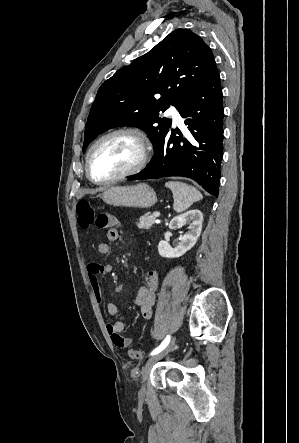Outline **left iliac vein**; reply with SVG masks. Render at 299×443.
Here are the masks:
<instances>
[{
  "mask_svg": "<svg viewBox=\"0 0 299 443\" xmlns=\"http://www.w3.org/2000/svg\"><path fill=\"white\" fill-rule=\"evenodd\" d=\"M175 344V339H173L166 348H164L162 351H160L159 353L151 356L145 363V365L142 368L141 371V376H142V387L140 390L141 394L145 393V382L150 374V371L152 369V367L154 366V364L156 362H158L159 360H161L162 358H164L174 347Z\"/></svg>",
  "mask_w": 299,
  "mask_h": 443,
  "instance_id": "obj_1",
  "label": "left iliac vein"
}]
</instances>
